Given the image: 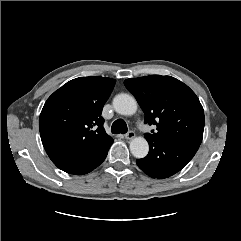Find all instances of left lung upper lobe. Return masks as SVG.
Here are the masks:
<instances>
[{
	"instance_id": "5c2ea615",
	"label": "left lung upper lobe",
	"mask_w": 241,
	"mask_h": 241,
	"mask_svg": "<svg viewBox=\"0 0 241 241\" xmlns=\"http://www.w3.org/2000/svg\"><path fill=\"white\" fill-rule=\"evenodd\" d=\"M124 84L144 111L145 122L157 127L156 132L145 136L201 144L204 111L187 85L171 76L161 75L126 79Z\"/></svg>"
}]
</instances>
